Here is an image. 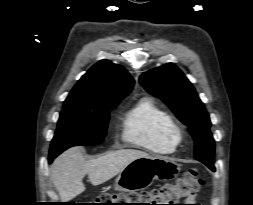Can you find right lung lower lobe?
<instances>
[{
    "label": "right lung lower lobe",
    "instance_id": "98d812e1",
    "mask_svg": "<svg viewBox=\"0 0 253 205\" xmlns=\"http://www.w3.org/2000/svg\"><path fill=\"white\" fill-rule=\"evenodd\" d=\"M57 155L53 156V155H49V162L51 163L53 161V159L56 157Z\"/></svg>",
    "mask_w": 253,
    "mask_h": 205
}]
</instances>
